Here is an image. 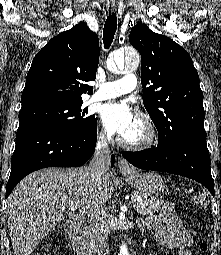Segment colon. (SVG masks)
Segmentation results:
<instances>
[{
	"mask_svg": "<svg viewBox=\"0 0 221 255\" xmlns=\"http://www.w3.org/2000/svg\"><path fill=\"white\" fill-rule=\"evenodd\" d=\"M193 202L195 205L201 208H205L207 206V197L204 193L198 192L193 196ZM199 249L201 252H206L207 250V243L206 241H202L199 245ZM37 255H45V254H37Z\"/></svg>",
	"mask_w": 221,
	"mask_h": 255,
	"instance_id": "1",
	"label": "colon"
}]
</instances>
